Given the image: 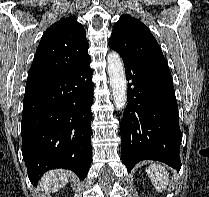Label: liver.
<instances>
[{"label": "liver", "instance_id": "6515ba94", "mask_svg": "<svg viewBox=\"0 0 209 197\" xmlns=\"http://www.w3.org/2000/svg\"><path fill=\"white\" fill-rule=\"evenodd\" d=\"M69 172L62 170L49 171L40 181L43 192H57L68 182Z\"/></svg>", "mask_w": 209, "mask_h": 197}]
</instances>
